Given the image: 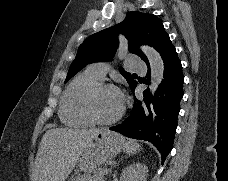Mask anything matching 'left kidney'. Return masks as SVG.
Instances as JSON below:
<instances>
[{"mask_svg":"<svg viewBox=\"0 0 228 181\" xmlns=\"http://www.w3.org/2000/svg\"><path fill=\"white\" fill-rule=\"evenodd\" d=\"M148 167L142 163H133L125 167L120 175V181H147Z\"/></svg>","mask_w":228,"mask_h":181,"instance_id":"obj_1","label":"left kidney"}]
</instances>
